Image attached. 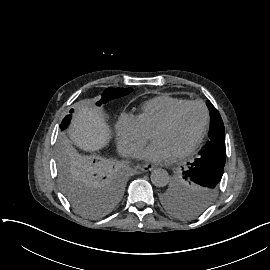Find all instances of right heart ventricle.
<instances>
[{"instance_id": "obj_1", "label": "right heart ventricle", "mask_w": 270, "mask_h": 270, "mask_svg": "<svg viewBox=\"0 0 270 270\" xmlns=\"http://www.w3.org/2000/svg\"><path fill=\"white\" fill-rule=\"evenodd\" d=\"M187 103L188 100L186 99L162 95L142 104L140 111L133 116L142 129L148 133Z\"/></svg>"}]
</instances>
